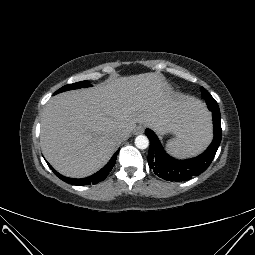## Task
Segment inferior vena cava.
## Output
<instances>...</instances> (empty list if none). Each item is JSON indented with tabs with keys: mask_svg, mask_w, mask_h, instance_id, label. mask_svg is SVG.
Listing matches in <instances>:
<instances>
[{
	"mask_svg": "<svg viewBox=\"0 0 255 255\" xmlns=\"http://www.w3.org/2000/svg\"><path fill=\"white\" fill-rule=\"evenodd\" d=\"M114 136L119 141H122V140L126 139V137H127L126 134L121 131L116 132Z\"/></svg>",
	"mask_w": 255,
	"mask_h": 255,
	"instance_id": "inferior-vena-cava-1",
	"label": "inferior vena cava"
}]
</instances>
